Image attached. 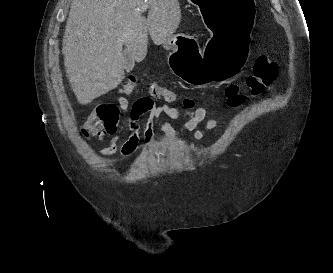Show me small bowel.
Listing matches in <instances>:
<instances>
[{"label": "small bowel", "mask_w": 333, "mask_h": 273, "mask_svg": "<svg viewBox=\"0 0 333 273\" xmlns=\"http://www.w3.org/2000/svg\"><path fill=\"white\" fill-rule=\"evenodd\" d=\"M277 83L278 79L276 78V72H274L273 80L268 85V91L273 92ZM117 102L122 111H130L128 126L131 134L121 147V155L124 157L131 156L140 141L143 142L145 147L151 145L155 135L154 127L157 123L170 137H173L175 133L170 128L166 118L175 121H184L183 127L176 133V135L193 133V138L196 142H200L203 139L206 130L217 129L220 126L217 120L207 118L210 113L207 107L181 109L172 107L168 104L154 106L153 96H139L138 100L131 106L124 97H119ZM228 106L234 108L233 105ZM143 116H146V119L143 126H141L140 120ZM142 127L143 134L140 136V130ZM110 134L111 139L108 145L99 151L101 157H108L118 150L120 136L117 132H110Z\"/></svg>", "instance_id": "1"}]
</instances>
